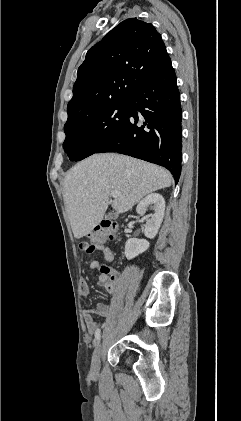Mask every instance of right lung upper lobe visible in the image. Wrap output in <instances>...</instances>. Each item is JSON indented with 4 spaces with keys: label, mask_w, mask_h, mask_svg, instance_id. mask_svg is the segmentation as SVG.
Instances as JSON below:
<instances>
[{
    "label": "right lung upper lobe",
    "mask_w": 241,
    "mask_h": 421,
    "mask_svg": "<svg viewBox=\"0 0 241 421\" xmlns=\"http://www.w3.org/2000/svg\"><path fill=\"white\" fill-rule=\"evenodd\" d=\"M168 53L155 27L126 19L89 49L78 68L64 127L114 103L129 100Z\"/></svg>",
    "instance_id": "1"
}]
</instances>
